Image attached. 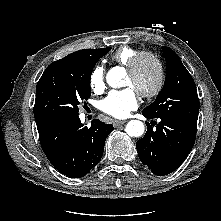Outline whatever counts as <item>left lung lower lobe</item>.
<instances>
[{
  "mask_svg": "<svg viewBox=\"0 0 221 221\" xmlns=\"http://www.w3.org/2000/svg\"><path fill=\"white\" fill-rule=\"evenodd\" d=\"M146 124L145 136L136 143L141 162L156 175L175 171L193 148L197 123L161 119L154 131Z\"/></svg>",
  "mask_w": 221,
  "mask_h": 221,
  "instance_id": "obj_1",
  "label": "left lung lower lobe"
}]
</instances>
